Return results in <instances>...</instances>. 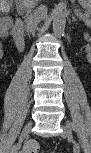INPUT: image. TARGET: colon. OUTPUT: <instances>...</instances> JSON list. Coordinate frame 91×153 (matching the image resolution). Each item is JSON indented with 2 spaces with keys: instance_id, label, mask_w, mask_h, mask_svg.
<instances>
[{
  "instance_id": "1",
  "label": "colon",
  "mask_w": 91,
  "mask_h": 153,
  "mask_svg": "<svg viewBox=\"0 0 91 153\" xmlns=\"http://www.w3.org/2000/svg\"><path fill=\"white\" fill-rule=\"evenodd\" d=\"M1 27L4 30H8L10 27V20L2 17L0 20ZM40 150V143L37 140H30L26 142L22 148V152L24 153H37Z\"/></svg>"
}]
</instances>
